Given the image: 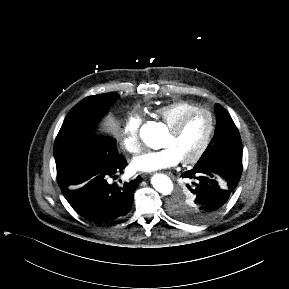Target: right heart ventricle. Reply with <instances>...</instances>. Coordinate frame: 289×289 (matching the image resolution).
Here are the masks:
<instances>
[{
  "mask_svg": "<svg viewBox=\"0 0 289 289\" xmlns=\"http://www.w3.org/2000/svg\"><path fill=\"white\" fill-rule=\"evenodd\" d=\"M196 108H198V106L194 103L185 100H178L156 108L153 111V115L170 127L184 113Z\"/></svg>",
  "mask_w": 289,
  "mask_h": 289,
  "instance_id": "right-heart-ventricle-1",
  "label": "right heart ventricle"
}]
</instances>
